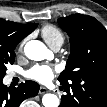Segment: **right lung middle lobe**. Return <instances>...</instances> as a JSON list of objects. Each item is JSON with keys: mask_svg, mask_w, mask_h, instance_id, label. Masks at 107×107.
<instances>
[{"mask_svg": "<svg viewBox=\"0 0 107 107\" xmlns=\"http://www.w3.org/2000/svg\"><path fill=\"white\" fill-rule=\"evenodd\" d=\"M14 59H15V57L10 59V60L8 59V60H5V61H0V81H2L3 77L6 74L7 68H6L5 65L8 64V63L13 64Z\"/></svg>", "mask_w": 107, "mask_h": 107, "instance_id": "right-lung-middle-lobe-1", "label": "right lung middle lobe"}]
</instances>
